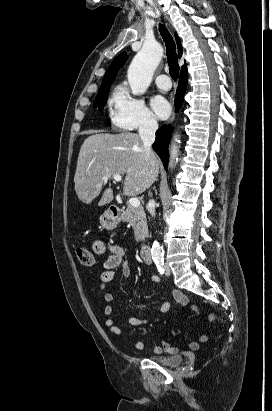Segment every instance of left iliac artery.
<instances>
[{
    "label": "left iliac artery",
    "instance_id": "left-iliac-artery-1",
    "mask_svg": "<svg viewBox=\"0 0 272 411\" xmlns=\"http://www.w3.org/2000/svg\"><path fill=\"white\" fill-rule=\"evenodd\" d=\"M154 262H155V264H156V266H157V268H158V271H159L161 274H163V273H164V268H163L164 259L158 258V259H155Z\"/></svg>",
    "mask_w": 272,
    "mask_h": 411
}]
</instances>
